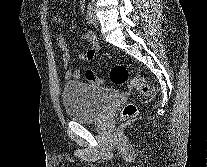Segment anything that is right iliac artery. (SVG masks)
<instances>
[{"label": "right iliac artery", "instance_id": "obj_1", "mask_svg": "<svg viewBox=\"0 0 207 167\" xmlns=\"http://www.w3.org/2000/svg\"><path fill=\"white\" fill-rule=\"evenodd\" d=\"M87 23L91 25L93 23V6L89 3L86 14Z\"/></svg>", "mask_w": 207, "mask_h": 167}]
</instances>
